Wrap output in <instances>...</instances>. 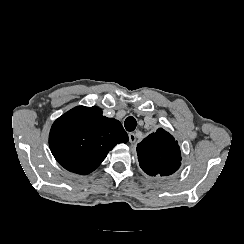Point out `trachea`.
I'll use <instances>...</instances> for the list:
<instances>
[{"label": "trachea", "mask_w": 244, "mask_h": 244, "mask_svg": "<svg viewBox=\"0 0 244 244\" xmlns=\"http://www.w3.org/2000/svg\"><path fill=\"white\" fill-rule=\"evenodd\" d=\"M124 126L127 131H134L137 126V121L135 120L134 117L128 116L124 121Z\"/></svg>", "instance_id": "obj_1"}]
</instances>
